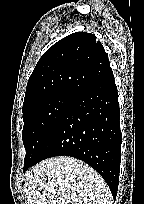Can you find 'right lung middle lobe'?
I'll return each instance as SVG.
<instances>
[{
  "mask_svg": "<svg viewBox=\"0 0 144 204\" xmlns=\"http://www.w3.org/2000/svg\"><path fill=\"white\" fill-rule=\"evenodd\" d=\"M74 97L75 94L71 93L56 94L23 110L24 172L33 165L39 150Z\"/></svg>",
  "mask_w": 144,
  "mask_h": 204,
  "instance_id": "dd1d6c3e",
  "label": "right lung middle lobe"
}]
</instances>
